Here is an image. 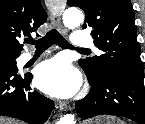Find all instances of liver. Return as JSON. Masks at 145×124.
<instances>
[{
	"label": "liver",
	"instance_id": "obj_1",
	"mask_svg": "<svg viewBox=\"0 0 145 124\" xmlns=\"http://www.w3.org/2000/svg\"><path fill=\"white\" fill-rule=\"evenodd\" d=\"M0 124H18L13 120L5 121V119L0 118Z\"/></svg>",
	"mask_w": 145,
	"mask_h": 124
}]
</instances>
